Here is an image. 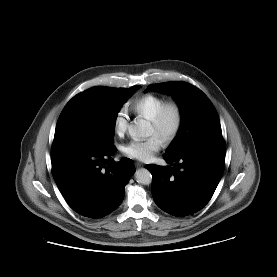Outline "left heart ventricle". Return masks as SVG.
Returning <instances> with one entry per match:
<instances>
[{
  "instance_id": "1",
  "label": "left heart ventricle",
  "mask_w": 277,
  "mask_h": 277,
  "mask_svg": "<svg viewBox=\"0 0 277 277\" xmlns=\"http://www.w3.org/2000/svg\"><path fill=\"white\" fill-rule=\"evenodd\" d=\"M172 124H173V116L170 115V116L168 117V119H167L165 128H166V129H169V128L172 126ZM149 132H150L151 135H157L156 129H155L152 125H150V131H149ZM157 136H158V135H157ZM158 137H159V136H158Z\"/></svg>"
}]
</instances>
